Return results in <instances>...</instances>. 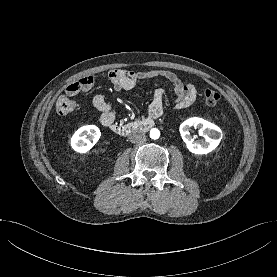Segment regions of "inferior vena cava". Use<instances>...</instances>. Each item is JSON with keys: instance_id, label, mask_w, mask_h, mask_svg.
<instances>
[{"instance_id": "602c4592", "label": "inferior vena cava", "mask_w": 277, "mask_h": 277, "mask_svg": "<svg viewBox=\"0 0 277 277\" xmlns=\"http://www.w3.org/2000/svg\"><path fill=\"white\" fill-rule=\"evenodd\" d=\"M145 139V134L141 131H134L129 135V140L132 143H139Z\"/></svg>"}]
</instances>
